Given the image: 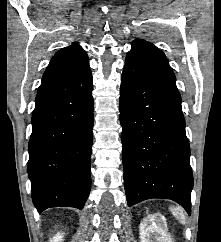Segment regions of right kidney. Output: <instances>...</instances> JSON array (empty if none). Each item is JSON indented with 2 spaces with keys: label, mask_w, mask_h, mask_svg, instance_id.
Listing matches in <instances>:
<instances>
[{
  "label": "right kidney",
  "mask_w": 221,
  "mask_h": 242,
  "mask_svg": "<svg viewBox=\"0 0 221 242\" xmlns=\"http://www.w3.org/2000/svg\"><path fill=\"white\" fill-rule=\"evenodd\" d=\"M63 240V233H57L50 242H62Z\"/></svg>",
  "instance_id": "obj_1"
}]
</instances>
